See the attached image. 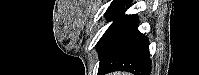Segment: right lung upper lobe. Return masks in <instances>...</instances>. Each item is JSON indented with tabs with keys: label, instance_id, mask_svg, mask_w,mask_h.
<instances>
[{
	"label": "right lung upper lobe",
	"instance_id": "cb5924a9",
	"mask_svg": "<svg viewBox=\"0 0 199 75\" xmlns=\"http://www.w3.org/2000/svg\"><path fill=\"white\" fill-rule=\"evenodd\" d=\"M118 1H120V0H115V1H113L112 3H114V2H118ZM126 1H128V2H129V0H126Z\"/></svg>",
	"mask_w": 199,
	"mask_h": 75
}]
</instances>
